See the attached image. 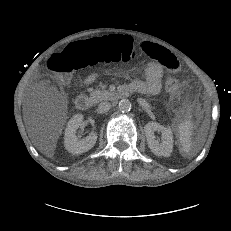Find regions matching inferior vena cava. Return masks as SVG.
I'll list each match as a JSON object with an SVG mask.
<instances>
[{
    "label": "inferior vena cava",
    "mask_w": 231,
    "mask_h": 231,
    "mask_svg": "<svg viewBox=\"0 0 231 231\" xmlns=\"http://www.w3.org/2000/svg\"><path fill=\"white\" fill-rule=\"evenodd\" d=\"M110 108L111 104L109 102H101L98 106L97 111L102 114L108 112Z\"/></svg>",
    "instance_id": "obj_1"
}]
</instances>
